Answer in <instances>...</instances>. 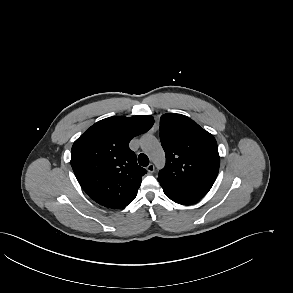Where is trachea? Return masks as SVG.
<instances>
[{"instance_id":"obj_1","label":"trachea","mask_w":293,"mask_h":293,"mask_svg":"<svg viewBox=\"0 0 293 293\" xmlns=\"http://www.w3.org/2000/svg\"><path fill=\"white\" fill-rule=\"evenodd\" d=\"M138 162L141 166L145 167L149 164V158L145 154L141 153L138 156Z\"/></svg>"}]
</instances>
